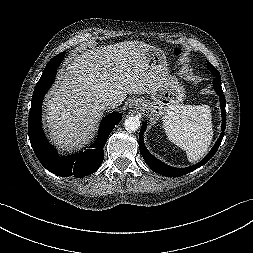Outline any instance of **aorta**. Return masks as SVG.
Wrapping results in <instances>:
<instances>
[{"label": "aorta", "instance_id": "aorta-1", "mask_svg": "<svg viewBox=\"0 0 253 253\" xmlns=\"http://www.w3.org/2000/svg\"><path fill=\"white\" fill-rule=\"evenodd\" d=\"M124 126L129 132L136 131L140 127V119L136 116H130L125 120Z\"/></svg>", "mask_w": 253, "mask_h": 253}]
</instances>
